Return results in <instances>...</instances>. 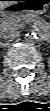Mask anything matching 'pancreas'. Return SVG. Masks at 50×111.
I'll list each match as a JSON object with an SVG mask.
<instances>
[{
  "label": "pancreas",
  "instance_id": "1",
  "mask_svg": "<svg viewBox=\"0 0 50 111\" xmlns=\"http://www.w3.org/2000/svg\"><path fill=\"white\" fill-rule=\"evenodd\" d=\"M27 22H33L38 28L44 29V22L35 14L8 17L4 20L2 26L5 29H18L24 27Z\"/></svg>",
  "mask_w": 50,
  "mask_h": 111
}]
</instances>
